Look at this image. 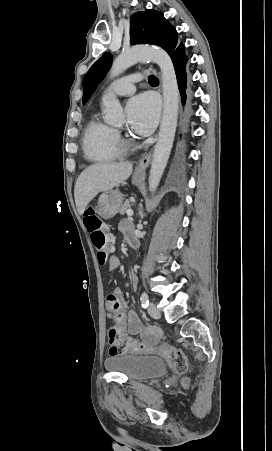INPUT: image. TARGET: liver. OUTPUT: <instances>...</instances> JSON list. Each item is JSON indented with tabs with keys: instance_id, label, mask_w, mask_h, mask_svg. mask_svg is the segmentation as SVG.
I'll use <instances>...</instances> for the list:
<instances>
[{
	"instance_id": "obj_1",
	"label": "liver",
	"mask_w": 272,
	"mask_h": 451,
	"mask_svg": "<svg viewBox=\"0 0 272 451\" xmlns=\"http://www.w3.org/2000/svg\"><path fill=\"white\" fill-rule=\"evenodd\" d=\"M133 170L130 162L115 164H94L80 174L74 190L75 204L79 216H82L89 202L99 194L112 190L124 180H128Z\"/></svg>"
}]
</instances>
